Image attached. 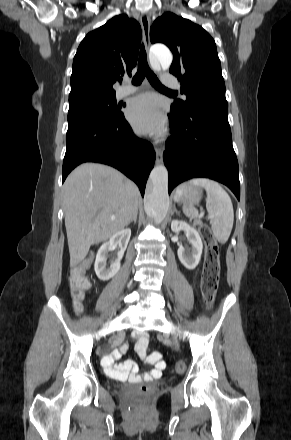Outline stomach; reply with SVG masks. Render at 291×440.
<instances>
[{
  "mask_svg": "<svg viewBox=\"0 0 291 440\" xmlns=\"http://www.w3.org/2000/svg\"><path fill=\"white\" fill-rule=\"evenodd\" d=\"M201 197L202 190L200 188L190 184H184L177 189L174 195V200L176 202L194 205L201 200Z\"/></svg>",
  "mask_w": 291,
  "mask_h": 440,
  "instance_id": "0dacf381",
  "label": "stomach"
}]
</instances>
